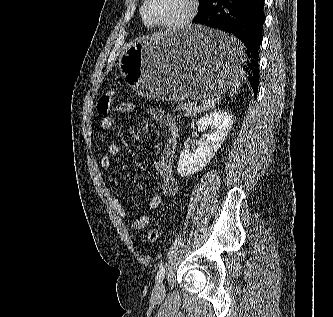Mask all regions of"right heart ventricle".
<instances>
[{"mask_svg": "<svg viewBox=\"0 0 333 317\" xmlns=\"http://www.w3.org/2000/svg\"><path fill=\"white\" fill-rule=\"evenodd\" d=\"M143 22L147 27H149V25L146 23V21L144 19H143Z\"/></svg>", "mask_w": 333, "mask_h": 317, "instance_id": "e07e8e85", "label": "right heart ventricle"}]
</instances>
